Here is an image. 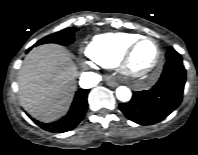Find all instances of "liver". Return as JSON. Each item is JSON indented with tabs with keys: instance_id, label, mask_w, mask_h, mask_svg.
Wrapping results in <instances>:
<instances>
[{
	"instance_id": "liver-1",
	"label": "liver",
	"mask_w": 198,
	"mask_h": 155,
	"mask_svg": "<svg viewBox=\"0 0 198 155\" xmlns=\"http://www.w3.org/2000/svg\"><path fill=\"white\" fill-rule=\"evenodd\" d=\"M76 72L71 55L63 47L42 45L34 48L18 73L20 104L37 120H57L73 99Z\"/></svg>"
}]
</instances>
